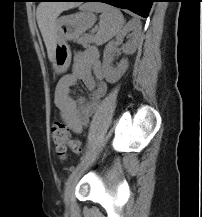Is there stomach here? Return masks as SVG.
Returning a JSON list of instances; mask_svg holds the SVG:
<instances>
[{
	"mask_svg": "<svg viewBox=\"0 0 202 217\" xmlns=\"http://www.w3.org/2000/svg\"><path fill=\"white\" fill-rule=\"evenodd\" d=\"M96 21L90 11L60 17L56 22V44L53 66L57 73H64L71 61V50L67 41L78 39Z\"/></svg>",
	"mask_w": 202,
	"mask_h": 217,
	"instance_id": "obj_1",
	"label": "stomach"
}]
</instances>
